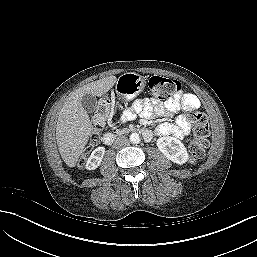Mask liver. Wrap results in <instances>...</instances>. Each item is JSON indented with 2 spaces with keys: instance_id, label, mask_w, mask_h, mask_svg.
Returning a JSON list of instances; mask_svg holds the SVG:
<instances>
[{
  "instance_id": "obj_1",
  "label": "liver",
  "mask_w": 257,
  "mask_h": 257,
  "mask_svg": "<svg viewBox=\"0 0 257 257\" xmlns=\"http://www.w3.org/2000/svg\"><path fill=\"white\" fill-rule=\"evenodd\" d=\"M115 76L91 82L77 89L64 103L58 116L56 140L59 153L69 167H75L92 132V123L81 99L86 94L101 97L116 83Z\"/></svg>"
}]
</instances>
